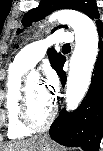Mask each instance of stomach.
Segmentation results:
<instances>
[{
  "label": "stomach",
  "instance_id": "obj_1",
  "mask_svg": "<svg viewBox=\"0 0 103 151\" xmlns=\"http://www.w3.org/2000/svg\"><path fill=\"white\" fill-rule=\"evenodd\" d=\"M34 151H59V150H57L56 145L50 142V140L47 137L41 136L37 140Z\"/></svg>",
  "mask_w": 103,
  "mask_h": 151
}]
</instances>
